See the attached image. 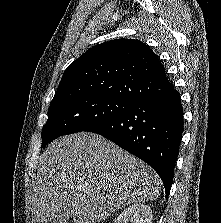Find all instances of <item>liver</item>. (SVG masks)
Listing matches in <instances>:
<instances>
[{
	"instance_id": "obj_1",
	"label": "liver",
	"mask_w": 221,
	"mask_h": 223,
	"mask_svg": "<svg viewBox=\"0 0 221 223\" xmlns=\"http://www.w3.org/2000/svg\"><path fill=\"white\" fill-rule=\"evenodd\" d=\"M32 223H97L117 210L159 197L161 180L140 159L104 137L80 132L40 156Z\"/></svg>"
}]
</instances>
